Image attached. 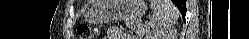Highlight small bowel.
I'll list each match as a JSON object with an SVG mask.
<instances>
[{"instance_id":"1","label":"small bowel","mask_w":249,"mask_h":39,"mask_svg":"<svg viewBox=\"0 0 249 39\" xmlns=\"http://www.w3.org/2000/svg\"><path fill=\"white\" fill-rule=\"evenodd\" d=\"M126 35L120 28L118 27H110L107 30L106 39H120Z\"/></svg>"}]
</instances>
